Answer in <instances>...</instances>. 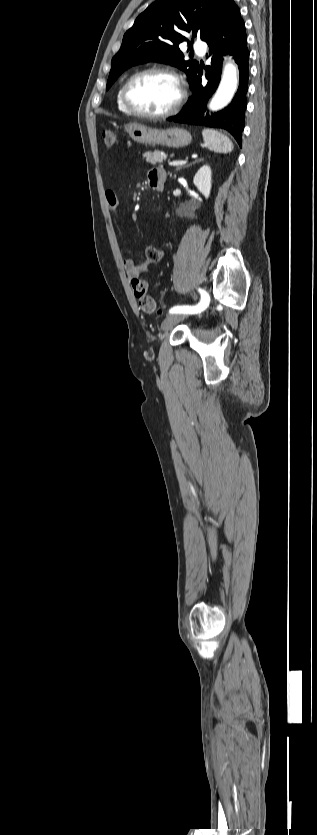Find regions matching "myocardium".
<instances>
[{"label":"myocardium","instance_id":"obj_1","mask_svg":"<svg viewBox=\"0 0 317 835\" xmlns=\"http://www.w3.org/2000/svg\"><path fill=\"white\" fill-rule=\"evenodd\" d=\"M150 74L166 75V76L172 78L178 86L179 96H178L176 102L169 109H167L163 112H160V113H148V112L141 111L140 109H138L133 104V102L131 101V98H130V91H131V88H132L133 84L136 81H138L140 78H142L144 76H147V75H150ZM185 98H186V90L184 88L183 81H182L181 77L178 75V73L175 72L174 70L170 69V68L160 67V66L149 67V68H146V69H143L141 71H138V72L134 73L133 75H131L127 79V81L124 84L123 90H122V100H123V103L126 106V108L130 111L131 114H133L137 117H140V118H144V119H152V120L162 119V118H167V117H170V116L176 114L180 110V108L182 107V105L185 101Z\"/></svg>","mask_w":317,"mask_h":835}]
</instances>
